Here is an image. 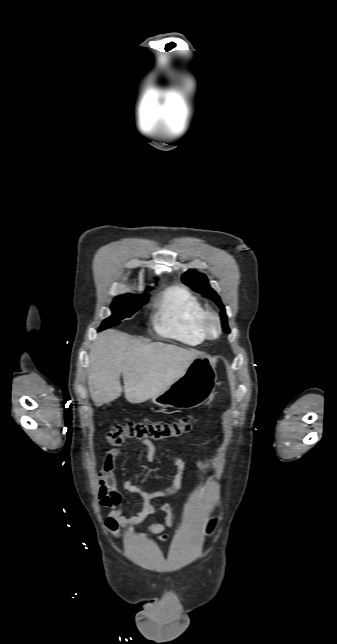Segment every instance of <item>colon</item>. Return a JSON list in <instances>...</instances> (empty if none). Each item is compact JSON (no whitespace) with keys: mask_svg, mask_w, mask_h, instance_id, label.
I'll return each mask as SVG.
<instances>
[{"mask_svg":"<svg viewBox=\"0 0 337 644\" xmlns=\"http://www.w3.org/2000/svg\"><path fill=\"white\" fill-rule=\"evenodd\" d=\"M194 423L195 419L191 415L184 416L170 423L126 421L112 427L106 434V440L111 446H119L127 438L164 440L189 432ZM216 523V518L209 521L207 525L208 533L214 531Z\"/></svg>","mask_w":337,"mask_h":644,"instance_id":"obj_1","label":"colon"}]
</instances>
